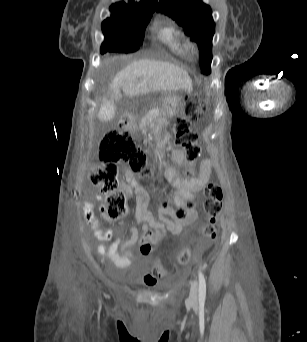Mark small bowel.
<instances>
[{"label": "small bowel", "instance_id": "c3829d8e", "mask_svg": "<svg viewBox=\"0 0 307 342\" xmlns=\"http://www.w3.org/2000/svg\"><path fill=\"white\" fill-rule=\"evenodd\" d=\"M171 156L175 164L180 165L184 163L182 151L174 149ZM211 171L212 161L209 158H205L201 162L197 175L187 178L178 176L172 166H167L165 178L176 189L172 197L174 206L161 207L158 210V218L148 210V195L139 185L135 174L127 171V190L137 195L136 220L142 224L143 233L145 229H152V225H165V232H181L183 227L195 221L198 216L197 210L194 207L189 208V204L198 200V194L208 183ZM101 199L100 195H96L91 201H87L84 204L85 220L92 228L94 238L98 241L109 243V245H98L96 252L106 256L116 267L121 269L127 268L131 265L133 248L139 240L137 229L136 227L131 228V236L125 242L115 238L110 229H102L94 213L95 206L101 202ZM178 209H187L188 212L185 219L177 218L176 212ZM100 210L103 213L104 207H100ZM142 254L148 255L149 253Z\"/></svg>", "mask_w": 307, "mask_h": 342}]
</instances>
